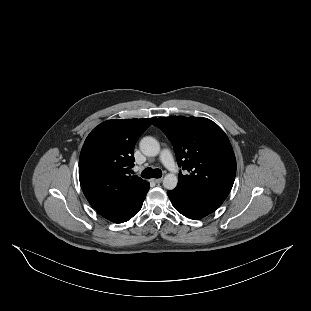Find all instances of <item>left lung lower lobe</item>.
<instances>
[{
	"mask_svg": "<svg viewBox=\"0 0 311 311\" xmlns=\"http://www.w3.org/2000/svg\"><path fill=\"white\" fill-rule=\"evenodd\" d=\"M174 208L182 215L199 220L215 211L225 200L222 197L206 195L178 186L167 192Z\"/></svg>",
	"mask_w": 311,
	"mask_h": 311,
	"instance_id": "obj_1",
	"label": "left lung lower lobe"
}]
</instances>
